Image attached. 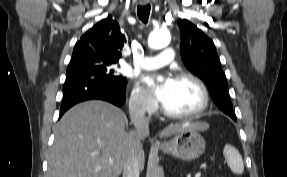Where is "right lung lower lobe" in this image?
I'll use <instances>...</instances> for the list:
<instances>
[{
	"label": "right lung lower lobe",
	"instance_id": "1",
	"mask_svg": "<svg viewBox=\"0 0 287 177\" xmlns=\"http://www.w3.org/2000/svg\"><path fill=\"white\" fill-rule=\"evenodd\" d=\"M126 83L127 81L114 82L90 74L67 77L59 117L75 104L87 100H104L121 107L126 99Z\"/></svg>",
	"mask_w": 287,
	"mask_h": 177
}]
</instances>
